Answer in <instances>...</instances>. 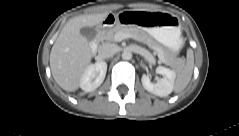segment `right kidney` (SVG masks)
<instances>
[{
  "instance_id": "ca27d5eb",
  "label": "right kidney",
  "mask_w": 239,
  "mask_h": 136,
  "mask_svg": "<svg viewBox=\"0 0 239 136\" xmlns=\"http://www.w3.org/2000/svg\"><path fill=\"white\" fill-rule=\"evenodd\" d=\"M106 72V62L98 61L95 64H90L80 79L81 89L84 92H92L96 90L103 83Z\"/></svg>"
}]
</instances>
